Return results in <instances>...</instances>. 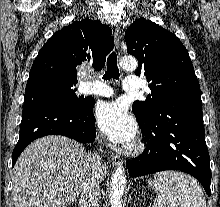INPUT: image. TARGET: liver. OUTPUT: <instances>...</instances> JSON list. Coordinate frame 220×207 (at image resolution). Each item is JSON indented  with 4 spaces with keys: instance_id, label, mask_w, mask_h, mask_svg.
<instances>
[{
    "instance_id": "1",
    "label": "liver",
    "mask_w": 220,
    "mask_h": 207,
    "mask_svg": "<svg viewBox=\"0 0 220 207\" xmlns=\"http://www.w3.org/2000/svg\"><path fill=\"white\" fill-rule=\"evenodd\" d=\"M90 153L78 142L50 135L32 142L13 172L15 207H67L79 197ZM107 175L103 166L100 180Z\"/></svg>"
}]
</instances>
